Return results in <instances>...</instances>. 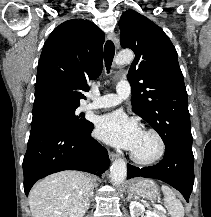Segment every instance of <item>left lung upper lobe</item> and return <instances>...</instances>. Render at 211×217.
I'll return each instance as SVG.
<instances>
[{
    "label": "left lung upper lobe",
    "mask_w": 211,
    "mask_h": 217,
    "mask_svg": "<svg viewBox=\"0 0 211 217\" xmlns=\"http://www.w3.org/2000/svg\"><path fill=\"white\" fill-rule=\"evenodd\" d=\"M120 44L135 53L127 78L134 113L146 120L164 143L192 145L187 92L177 52L165 32L134 10L119 22Z\"/></svg>",
    "instance_id": "obj_1"
}]
</instances>
